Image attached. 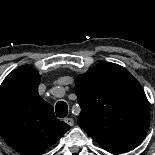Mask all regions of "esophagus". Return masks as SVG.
Instances as JSON below:
<instances>
[{
	"label": "esophagus",
	"instance_id": "obj_1",
	"mask_svg": "<svg viewBox=\"0 0 155 155\" xmlns=\"http://www.w3.org/2000/svg\"><path fill=\"white\" fill-rule=\"evenodd\" d=\"M64 122L67 123L69 126L74 125V120L72 118H65Z\"/></svg>",
	"mask_w": 155,
	"mask_h": 155
}]
</instances>
